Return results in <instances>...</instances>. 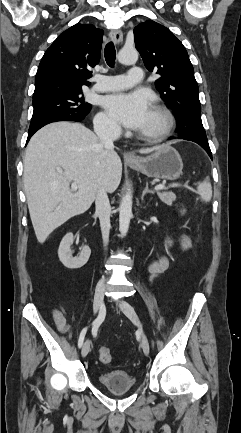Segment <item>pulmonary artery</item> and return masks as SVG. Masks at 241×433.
<instances>
[{"instance_id":"pulmonary-artery-1","label":"pulmonary artery","mask_w":241,"mask_h":433,"mask_svg":"<svg viewBox=\"0 0 241 433\" xmlns=\"http://www.w3.org/2000/svg\"><path fill=\"white\" fill-rule=\"evenodd\" d=\"M142 80V68L132 66L127 75H102L98 77L93 89L99 92L123 90L141 83Z\"/></svg>"}]
</instances>
